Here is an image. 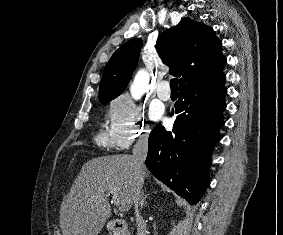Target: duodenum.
Returning a JSON list of instances; mask_svg holds the SVG:
<instances>
[{
    "label": "duodenum",
    "instance_id": "duodenum-1",
    "mask_svg": "<svg viewBox=\"0 0 283 235\" xmlns=\"http://www.w3.org/2000/svg\"><path fill=\"white\" fill-rule=\"evenodd\" d=\"M107 227L115 234V235H124L126 231V224L122 220H110L107 223Z\"/></svg>",
    "mask_w": 283,
    "mask_h": 235
}]
</instances>
